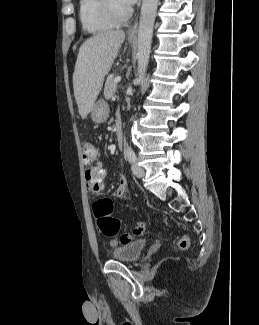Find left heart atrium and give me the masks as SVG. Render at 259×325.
I'll use <instances>...</instances> for the list:
<instances>
[{
  "label": "left heart atrium",
  "mask_w": 259,
  "mask_h": 325,
  "mask_svg": "<svg viewBox=\"0 0 259 325\" xmlns=\"http://www.w3.org/2000/svg\"><path fill=\"white\" fill-rule=\"evenodd\" d=\"M137 0H122V2L126 5V6H130L132 4H134Z\"/></svg>",
  "instance_id": "left-heart-atrium-1"
}]
</instances>
